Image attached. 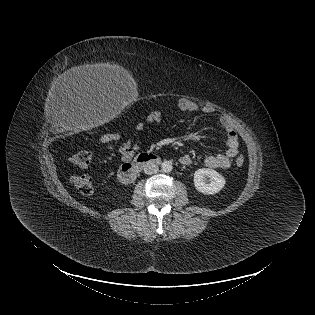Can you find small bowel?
Returning a JSON list of instances; mask_svg holds the SVG:
<instances>
[{"instance_id": "obj_1", "label": "small bowel", "mask_w": 315, "mask_h": 315, "mask_svg": "<svg viewBox=\"0 0 315 315\" xmlns=\"http://www.w3.org/2000/svg\"><path fill=\"white\" fill-rule=\"evenodd\" d=\"M178 108L183 113L192 115L198 112L203 114H212L215 112V109L210 106L200 107L197 104L193 103L187 99H181L178 103ZM164 112L156 110L151 112L145 121L139 122L136 125V131L140 132L145 129L147 125H156L159 124L163 118ZM219 122L221 126L226 131V146L227 149L223 154H214L209 155L205 159V165L213 169H228L231 166L232 159L238 154L239 142L238 136L234 129L232 120L226 114H221L219 117ZM139 150V145L134 139H130L127 142L123 143L119 147V154L123 161H129L134 154ZM192 159L189 155H184L180 157V163L183 165L191 164Z\"/></svg>"}]
</instances>
